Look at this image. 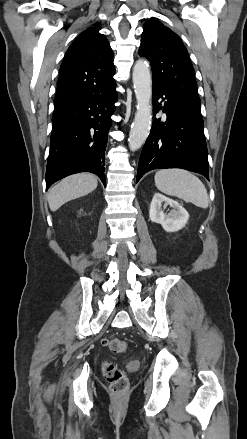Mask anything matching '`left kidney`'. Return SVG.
Wrapping results in <instances>:
<instances>
[{
    "label": "left kidney",
    "instance_id": "5707ae66",
    "mask_svg": "<svg viewBox=\"0 0 247 439\" xmlns=\"http://www.w3.org/2000/svg\"><path fill=\"white\" fill-rule=\"evenodd\" d=\"M162 203L164 209L168 205L172 207L168 214L162 210ZM149 217L152 222L161 224L166 232H176L186 225L189 214L177 201L155 193L150 204Z\"/></svg>",
    "mask_w": 247,
    "mask_h": 439
}]
</instances>
